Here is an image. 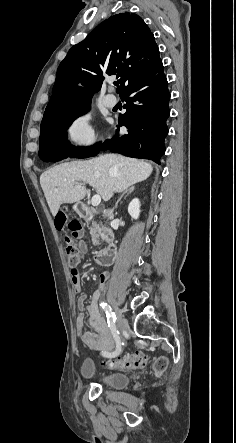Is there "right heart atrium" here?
<instances>
[{
  "label": "right heart atrium",
  "mask_w": 236,
  "mask_h": 443,
  "mask_svg": "<svg viewBox=\"0 0 236 443\" xmlns=\"http://www.w3.org/2000/svg\"><path fill=\"white\" fill-rule=\"evenodd\" d=\"M64 139L72 150H88L98 141V131L93 117L88 112L75 115L67 123L64 130Z\"/></svg>",
  "instance_id": "d8ad5b80"
}]
</instances>
